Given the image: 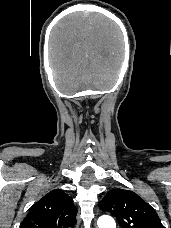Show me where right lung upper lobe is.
<instances>
[{
	"mask_svg": "<svg viewBox=\"0 0 171 228\" xmlns=\"http://www.w3.org/2000/svg\"><path fill=\"white\" fill-rule=\"evenodd\" d=\"M77 210L63 190L46 194L31 208L20 228H70Z\"/></svg>",
	"mask_w": 171,
	"mask_h": 228,
	"instance_id": "cb5924a9",
	"label": "right lung upper lobe"
}]
</instances>
